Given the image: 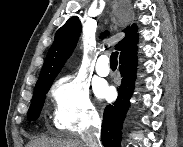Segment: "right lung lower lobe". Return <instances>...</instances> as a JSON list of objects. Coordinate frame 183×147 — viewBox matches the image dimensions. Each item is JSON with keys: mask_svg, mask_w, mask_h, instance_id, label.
Segmentation results:
<instances>
[{"mask_svg": "<svg viewBox=\"0 0 183 147\" xmlns=\"http://www.w3.org/2000/svg\"><path fill=\"white\" fill-rule=\"evenodd\" d=\"M119 60L122 83L118 88L117 100L113 104L107 105L104 110L102 123L104 147H120L122 124L129 107V99L133 93L136 77V51L121 56Z\"/></svg>", "mask_w": 183, "mask_h": 147, "instance_id": "98d812e1", "label": "right lung lower lobe"}]
</instances>
